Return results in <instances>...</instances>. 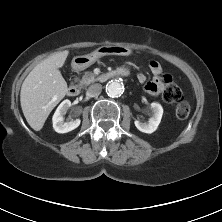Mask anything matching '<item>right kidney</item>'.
Masks as SVG:
<instances>
[{
    "instance_id": "1",
    "label": "right kidney",
    "mask_w": 222,
    "mask_h": 222,
    "mask_svg": "<svg viewBox=\"0 0 222 222\" xmlns=\"http://www.w3.org/2000/svg\"><path fill=\"white\" fill-rule=\"evenodd\" d=\"M71 106L70 100H64L56 109L52 121H53V128L58 133H67L74 129H76L79 125L81 120L71 119L70 121H64V115L66 114L67 110Z\"/></svg>"
}]
</instances>
